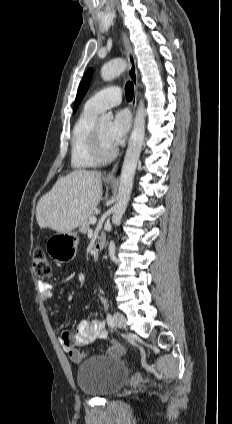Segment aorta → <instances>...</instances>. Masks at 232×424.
<instances>
[{
  "mask_svg": "<svg viewBox=\"0 0 232 424\" xmlns=\"http://www.w3.org/2000/svg\"><path fill=\"white\" fill-rule=\"evenodd\" d=\"M127 62L123 59H114L101 68V77L104 81H110L122 74L127 69ZM113 120L111 112L101 115V123H110ZM145 136V107L144 102L140 100L137 107L133 130L126 150L121 175L119 179V189L117 201L113 208L112 223L117 224L121 221L126 210L133 187V179L137 163L142 150Z\"/></svg>",
  "mask_w": 232,
  "mask_h": 424,
  "instance_id": "1",
  "label": "aorta"
}]
</instances>
